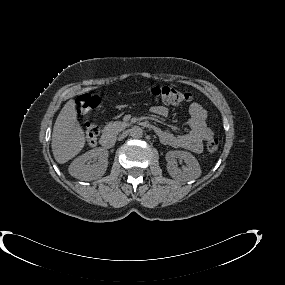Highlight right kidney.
Instances as JSON below:
<instances>
[{"instance_id": "ca27d5eb", "label": "right kidney", "mask_w": 285, "mask_h": 285, "mask_svg": "<svg viewBox=\"0 0 285 285\" xmlns=\"http://www.w3.org/2000/svg\"><path fill=\"white\" fill-rule=\"evenodd\" d=\"M98 158V162L90 165L87 161ZM107 152L103 148L93 149L74 160L68 168L70 175L81 180H94L102 177L107 169Z\"/></svg>"}]
</instances>
